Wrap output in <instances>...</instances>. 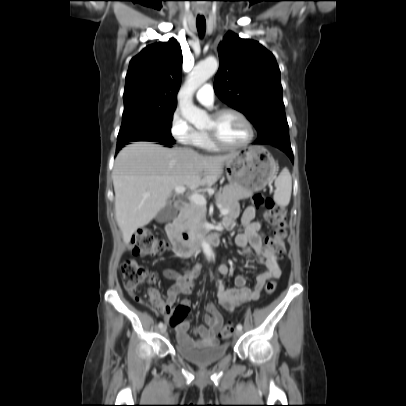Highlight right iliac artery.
<instances>
[{
    "label": "right iliac artery",
    "instance_id": "obj_1",
    "mask_svg": "<svg viewBox=\"0 0 406 406\" xmlns=\"http://www.w3.org/2000/svg\"><path fill=\"white\" fill-rule=\"evenodd\" d=\"M162 326H163V323L160 322V323L158 324V327L161 328Z\"/></svg>",
    "mask_w": 406,
    "mask_h": 406
}]
</instances>
